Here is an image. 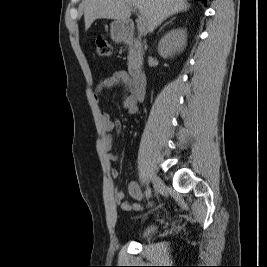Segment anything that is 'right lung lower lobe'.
<instances>
[{"label": "right lung lower lobe", "instance_id": "right-lung-lower-lobe-1", "mask_svg": "<svg viewBox=\"0 0 267 267\" xmlns=\"http://www.w3.org/2000/svg\"><path fill=\"white\" fill-rule=\"evenodd\" d=\"M202 3L206 4V0H200Z\"/></svg>", "mask_w": 267, "mask_h": 267}]
</instances>
